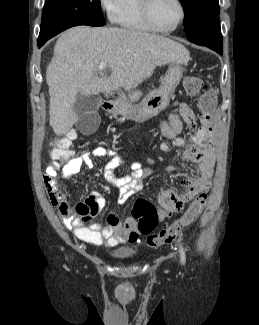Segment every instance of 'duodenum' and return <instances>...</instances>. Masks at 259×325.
<instances>
[{
	"mask_svg": "<svg viewBox=\"0 0 259 325\" xmlns=\"http://www.w3.org/2000/svg\"><path fill=\"white\" fill-rule=\"evenodd\" d=\"M100 106L102 107V109H104V110H109L110 108H111V103L110 102H108L107 100H105V99H101L100 100Z\"/></svg>",
	"mask_w": 259,
	"mask_h": 325,
	"instance_id": "1",
	"label": "duodenum"
}]
</instances>
